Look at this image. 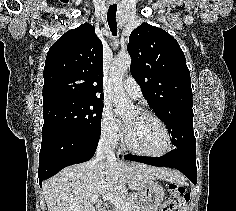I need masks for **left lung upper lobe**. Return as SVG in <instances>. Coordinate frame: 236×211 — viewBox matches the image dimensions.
<instances>
[{
  "mask_svg": "<svg viewBox=\"0 0 236 211\" xmlns=\"http://www.w3.org/2000/svg\"><path fill=\"white\" fill-rule=\"evenodd\" d=\"M128 52L131 74L167 126L175 149H196L190 72L178 42L163 29L142 23L131 32Z\"/></svg>",
  "mask_w": 236,
  "mask_h": 211,
  "instance_id": "5c2ea615",
  "label": "left lung upper lobe"
}]
</instances>
